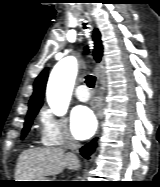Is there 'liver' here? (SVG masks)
Listing matches in <instances>:
<instances>
[{"label":"liver","instance_id":"obj_1","mask_svg":"<svg viewBox=\"0 0 160 187\" xmlns=\"http://www.w3.org/2000/svg\"><path fill=\"white\" fill-rule=\"evenodd\" d=\"M64 168L78 169L77 157L57 147L30 149L20 154L15 179L16 181L44 179L46 176L61 173Z\"/></svg>","mask_w":160,"mask_h":187}]
</instances>
